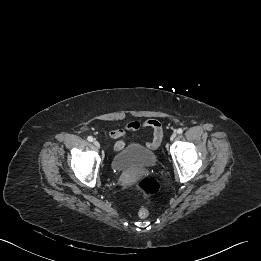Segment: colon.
<instances>
[{
  "label": "colon",
  "instance_id": "obj_1",
  "mask_svg": "<svg viewBox=\"0 0 261 261\" xmlns=\"http://www.w3.org/2000/svg\"><path fill=\"white\" fill-rule=\"evenodd\" d=\"M159 189L160 184L153 178H144L135 187V190L142 193L146 198H151ZM138 216L140 218H147L149 216L148 208L141 206L138 210Z\"/></svg>",
  "mask_w": 261,
  "mask_h": 261
}]
</instances>
